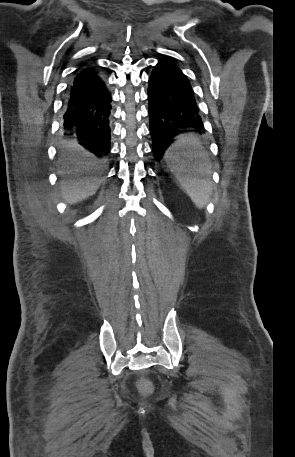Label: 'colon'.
Wrapping results in <instances>:
<instances>
[{
    "instance_id": "obj_1",
    "label": "colon",
    "mask_w": 295,
    "mask_h": 457,
    "mask_svg": "<svg viewBox=\"0 0 295 457\" xmlns=\"http://www.w3.org/2000/svg\"><path fill=\"white\" fill-rule=\"evenodd\" d=\"M143 379L146 381L148 378L145 376ZM138 386H139L140 388H142L144 385H143L142 383H140Z\"/></svg>"
}]
</instances>
